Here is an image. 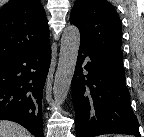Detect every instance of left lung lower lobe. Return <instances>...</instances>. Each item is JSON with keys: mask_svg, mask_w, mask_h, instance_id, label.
I'll return each instance as SVG.
<instances>
[{"mask_svg": "<svg viewBox=\"0 0 144 137\" xmlns=\"http://www.w3.org/2000/svg\"><path fill=\"white\" fill-rule=\"evenodd\" d=\"M71 88L77 137L109 133L140 137L122 63L96 54L80 43Z\"/></svg>", "mask_w": 144, "mask_h": 137, "instance_id": "left-lung-lower-lobe-1", "label": "left lung lower lobe"}]
</instances>
